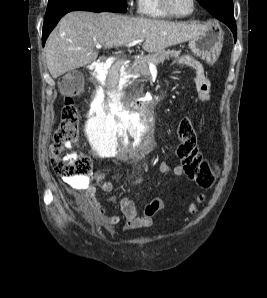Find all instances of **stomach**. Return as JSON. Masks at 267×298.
<instances>
[{
    "label": "stomach",
    "instance_id": "stomach-1",
    "mask_svg": "<svg viewBox=\"0 0 267 298\" xmlns=\"http://www.w3.org/2000/svg\"><path fill=\"white\" fill-rule=\"evenodd\" d=\"M223 42V32L217 25L209 26L197 38L189 40V48L197 57L213 64L218 59Z\"/></svg>",
    "mask_w": 267,
    "mask_h": 298
}]
</instances>
